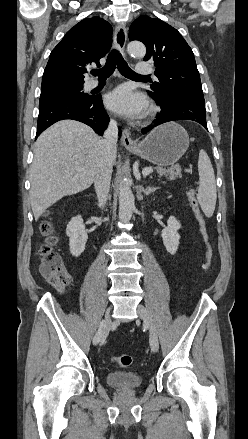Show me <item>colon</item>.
<instances>
[{
	"instance_id": "colon-1",
	"label": "colon",
	"mask_w": 248,
	"mask_h": 439,
	"mask_svg": "<svg viewBox=\"0 0 248 439\" xmlns=\"http://www.w3.org/2000/svg\"><path fill=\"white\" fill-rule=\"evenodd\" d=\"M187 196L190 206L195 214L197 223L199 225L200 234L205 245V263L203 265L204 272L207 273L212 261V248L208 241V233L206 228V221L203 217L198 201L195 197L194 190L189 188L187 190ZM41 231L47 236V240L44 245L41 246L40 254V274L53 286H63L69 281V276L66 271L64 261L59 253L54 249L57 242L56 237L53 235V226L50 221H44L41 224ZM122 367H129L132 362V356L123 354L114 358Z\"/></svg>"
}]
</instances>
